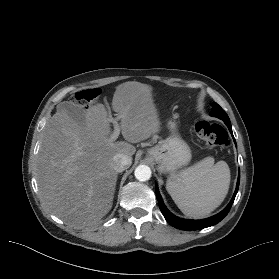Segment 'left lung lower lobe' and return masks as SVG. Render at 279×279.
<instances>
[{
	"label": "left lung lower lobe",
	"instance_id": "0a47b994",
	"mask_svg": "<svg viewBox=\"0 0 279 279\" xmlns=\"http://www.w3.org/2000/svg\"><path fill=\"white\" fill-rule=\"evenodd\" d=\"M226 125L233 136L231 123H227ZM239 182H240V175L238 176L237 186H236L234 195H233L230 203L227 205V207L222 212L218 213L217 215L207 218V219H202V220L182 219V218L176 217L172 213H170L162 201V198L158 191L157 186H156V196H157L159 208H160L163 216L173 227L181 229V230H199V229H203V228L217 224L228 214V212L234 202L235 196L238 192Z\"/></svg>",
	"mask_w": 279,
	"mask_h": 279
}]
</instances>
